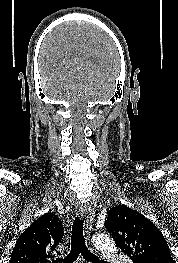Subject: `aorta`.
<instances>
[{"instance_id":"762f6f07","label":"aorta","mask_w":178,"mask_h":263,"mask_svg":"<svg viewBox=\"0 0 178 263\" xmlns=\"http://www.w3.org/2000/svg\"><path fill=\"white\" fill-rule=\"evenodd\" d=\"M92 242L107 259H112L115 256L116 246L114 241L108 235L97 234L93 236Z\"/></svg>"}]
</instances>
